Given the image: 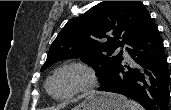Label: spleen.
<instances>
[{
  "instance_id": "obj_1",
  "label": "spleen",
  "mask_w": 171,
  "mask_h": 110,
  "mask_svg": "<svg viewBox=\"0 0 171 110\" xmlns=\"http://www.w3.org/2000/svg\"><path fill=\"white\" fill-rule=\"evenodd\" d=\"M126 110H143V107L133 100H125Z\"/></svg>"
}]
</instances>
